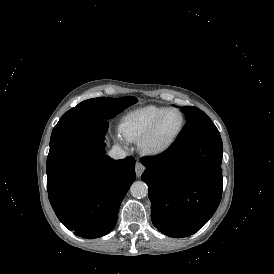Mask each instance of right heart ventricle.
Here are the masks:
<instances>
[{
	"label": "right heart ventricle",
	"mask_w": 274,
	"mask_h": 274,
	"mask_svg": "<svg viewBox=\"0 0 274 274\" xmlns=\"http://www.w3.org/2000/svg\"><path fill=\"white\" fill-rule=\"evenodd\" d=\"M165 109L163 106L145 105L128 111L119 122L120 135L127 141H138Z\"/></svg>",
	"instance_id": "obj_1"
}]
</instances>
